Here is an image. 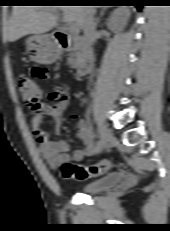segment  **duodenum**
<instances>
[{
	"instance_id": "obj_1",
	"label": "duodenum",
	"mask_w": 170,
	"mask_h": 231,
	"mask_svg": "<svg viewBox=\"0 0 170 231\" xmlns=\"http://www.w3.org/2000/svg\"><path fill=\"white\" fill-rule=\"evenodd\" d=\"M58 46L62 50H69L71 48L79 47L81 50L76 56L75 69L81 76L90 73L91 68L95 62V56L92 49L79 39L72 38L65 31H57L54 34Z\"/></svg>"
}]
</instances>
